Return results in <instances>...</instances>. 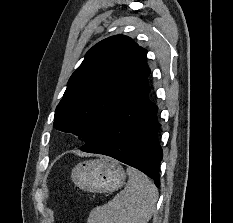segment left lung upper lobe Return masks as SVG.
Instances as JSON below:
<instances>
[{
	"instance_id": "obj_1",
	"label": "left lung upper lobe",
	"mask_w": 233,
	"mask_h": 223,
	"mask_svg": "<svg viewBox=\"0 0 233 223\" xmlns=\"http://www.w3.org/2000/svg\"><path fill=\"white\" fill-rule=\"evenodd\" d=\"M146 55L124 35L93 46L68 81L54 128L79 135L88 144L149 76Z\"/></svg>"
}]
</instances>
